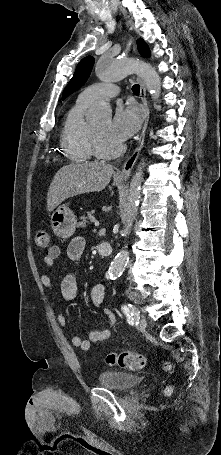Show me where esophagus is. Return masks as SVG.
Listing matches in <instances>:
<instances>
[{"instance_id":"obj_1","label":"esophagus","mask_w":221,"mask_h":455,"mask_svg":"<svg viewBox=\"0 0 221 455\" xmlns=\"http://www.w3.org/2000/svg\"><path fill=\"white\" fill-rule=\"evenodd\" d=\"M137 80H138V83L140 85V96H141V100H142V103L144 105V108H145V119H144V123H143V126H142V130H141V134H140V138H139V143H138V146L137 148L135 149V151L133 152V154L126 160V162L124 163L123 165V168H122V171L120 172V174L117 176V179L118 180H126L130 173H131V170L140 154V151L143 147V143H144V139H145V134H146V129H147V126H148V121H149V114H150V111H149V107H148V103H147V99H146V89H145V85H144V82L142 80V78L140 76L137 77Z\"/></svg>"}]
</instances>
